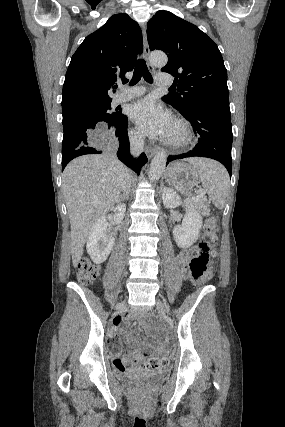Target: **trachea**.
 <instances>
[{
	"instance_id": "obj_1",
	"label": "trachea",
	"mask_w": 285,
	"mask_h": 427,
	"mask_svg": "<svg viewBox=\"0 0 285 427\" xmlns=\"http://www.w3.org/2000/svg\"><path fill=\"white\" fill-rule=\"evenodd\" d=\"M141 77H143L147 82H149L150 84L153 83V78L152 75L150 74L146 62L143 58H140L136 65H135V69H134V73H133V77L130 81V85L133 86L135 84H137L139 82V80L141 79ZM126 83V82H125Z\"/></svg>"
}]
</instances>
